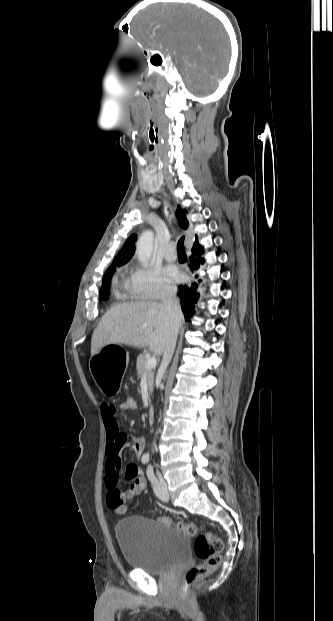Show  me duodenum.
Returning <instances> with one entry per match:
<instances>
[{
	"mask_svg": "<svg viewBox=\"0 0 333 621\" xmlns=\"http://www.w3.org/2000/svg\"><path fill=\"white\" fill-rule=\"evenodd\" d=\"M147 419H148V423L150 425H152L154 423V421H155V410H154V408H152V407L149 408L148 414H147Z\"/></svg>",
	"mask_w": 333,
	"mask_h": 621,
	"instance_id": "obj_1",
	"label": "duodenum"
}]
</instances>
